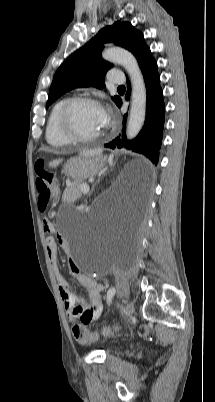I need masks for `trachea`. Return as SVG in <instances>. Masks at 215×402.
Wrapping results in <instances>:
<instances>
[{
    "instance_id": "3493384b",
    "label": "trachea",
    "mask_w": 215,
    "mask_h": 402,
    "mask_svg": "<svg viewBox=\"0 0 215 402\" xmlns=\"http://www.w3.org/2000/svg\"><path fill=\"white\" fill-rule=\"evenodd\" d=\"M118 88H125V86L122 85V86H119Z\"/></svg>"
}]
</instances>
